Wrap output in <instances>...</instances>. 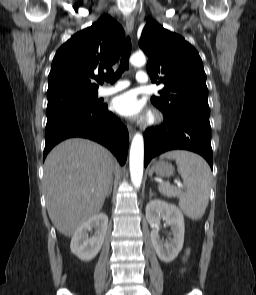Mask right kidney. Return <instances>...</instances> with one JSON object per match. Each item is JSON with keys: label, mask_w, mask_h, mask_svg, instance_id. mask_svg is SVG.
<instances>
[{"label": "right kidney", "mask_w": 256, "mask_h": 295, "mask_svg": "<svg viewBox=\"0 0 256 295\" xmlns=\"http://www.w3.org/2000/svg\"><path fill=\"white\" fill-rule=\"evenodd\" d=\"M108 216L105 213L94 215L84 222L74 233L70 249L83 261H90L100 251L107 232ZM95 229V234L88 237V233Z\"/></svg>", "instance_id": "right-kidney-1"}]
</instances>
